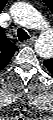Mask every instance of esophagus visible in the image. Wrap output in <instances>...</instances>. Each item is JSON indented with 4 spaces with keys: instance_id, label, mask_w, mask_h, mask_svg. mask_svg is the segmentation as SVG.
I'll list each match as a JSON object with an SVG mask.
<instances>
[{
    "instance_id": "34e87169",
    "label": "esophagus",
    "mask_w": 53,
    "mask_h": 120,
    "mask_svg": "<svg viewBox=\"0 0 53 120\" xmlns=\"http://www.w3.org/2000/svg\"><path fill=\"white\" fill-rule=\"evenodd\" d=\"M34 38H31L30 40H26V41H24L23 43H22V45L23 46H25V45H31V44H33L34 43Z\"/></svg>"
}]
</instances>
